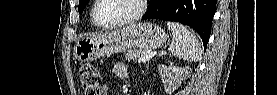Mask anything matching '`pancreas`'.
<instances>
[{"label": "pancreas", "mask_w": 277, "mask_h": 95, "mask_svg": "<svg viewBox=\"0 0 277 95\" xmlns=\"http://www.w3.org/2000/svg\"><path fill=\"white\" fill-rule=\"evenodd\" d=\"M148 54L147 50L144 49H134L129 50L125 56L126 60H139L141 57Z\"/></svg>", "instance_id": "pancreas-1"}]
</instances>
